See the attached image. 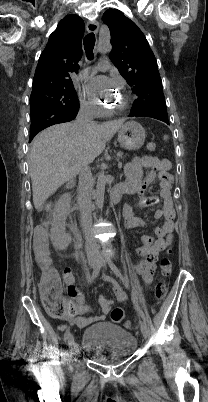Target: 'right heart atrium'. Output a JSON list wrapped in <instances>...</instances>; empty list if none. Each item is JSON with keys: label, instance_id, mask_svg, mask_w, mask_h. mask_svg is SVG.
Wrapping results in <instances>:
<instances>
[{"label": "right heart atrium", "instance_id": "d8ad5b80", "mask_svg": "<svg viewBox=\"0 0 208 402\" xmlns=\"http://www.w3.org/2000/svg\"><path fill=\"white\" fill-rule=\"evenodd\" d=\"M80 105L85 112L95 118L100 117L104 112L99 101L94 97L81 95Z\"/></svg>", "mask_w": 208, "mask_h": 402}]
</instances>
